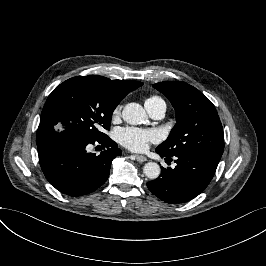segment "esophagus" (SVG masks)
<instances>
[{"instance_id":"34e87169","label":"esophagus","mask_w":266,"mask_h":266,"mask_svg":"<svg viewBox=\"0 0 266 266\" xmlns=\"http://www.w3.org/2000/svg\"><path fill=\"white\" fill-rule=\"evenodd\" d=\"M134 156H135V158H136V160H137L138 162L143 163V162H146V161H147L146 157H144V156H142V155L135 154Z\"/></svg>"}]
</instances>
